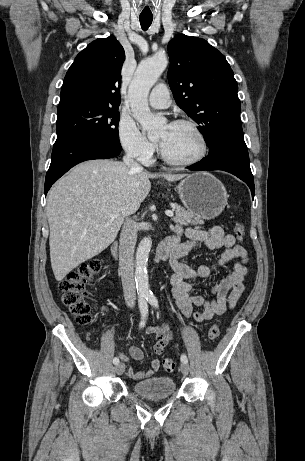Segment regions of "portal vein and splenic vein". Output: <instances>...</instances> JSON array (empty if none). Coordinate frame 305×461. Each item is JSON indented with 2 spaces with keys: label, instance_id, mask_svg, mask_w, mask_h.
<instances>
[{
  "label": "portal vein and splenic vein",
  "instance_id": "obj_1",
  "mask_svg": "<svg viewBox=\"0 0 305 461\" xmlns=\"http://www.w3.org/2000/svg\"><path fill=\"white\" fill-rule=\"evenodd\" d=\"M165 214H166L168 217H171V218L174 216L173 212L170 211V210H166V211H165ZM110 216H111V218H116V217H117V215H110Z\"/></svg>",
  "mask_w": 305,
  "mask_h": 461
}]
</instances>
